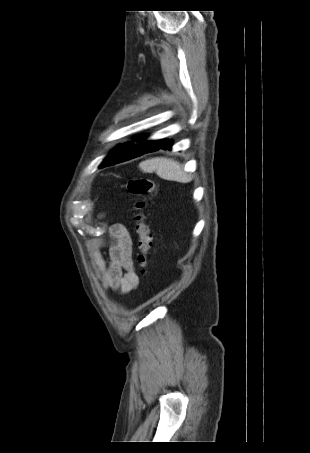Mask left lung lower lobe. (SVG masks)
Here are the masks:
<instances>
[{
  "label": "left lung lower lobe",
  "mask_w": 310,
  "mask_h": 453,
  "mask_svg": "<svg viewBox=\"0 0 310 453\" xmlns=\"http://www.w3.org/2000/svg\"><path fill=\"white\" fill-rule=\"evenodd\" d=\"M172 145H173V143L170 140L155 141V142L147 145L146 147L141 148V150L136 154L135 157L143 155L148 152H153V151H156L159 149H164V150L171 149Z\"/></svg>",
  "instance_id": "left-lung-lower-lobe-1"
}]
</instances>
